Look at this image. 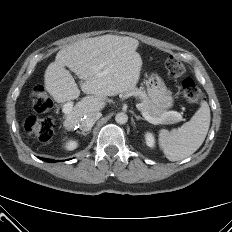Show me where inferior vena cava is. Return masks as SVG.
Segmentation results:
<instances>
[{
    "label": "inferior vena cava",
    "mask_w": 232,
    "mask_h": 232,
    "mask_svg": "<svg viewBox=\"0 0 232 232\" xmlns=\"http://www.w3.org/2000/svg\"><path fill=\"white\" fill-rule=\"evenodd\" d=\"M102 116L100 112H92L85 115L79 124V127L82 131H89L94 123Z\"/></svg>",
    "instance_id": "1"
}]
</instances>
